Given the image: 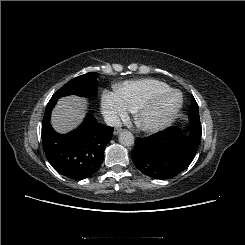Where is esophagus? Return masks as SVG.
I'll use <instances>...</instances> for the list:
<instances>
[{"instance_id": "1", "label": "esophagus", "mask_w": 245, "mask_h": 245, "mask_svg": "<svg viewBox=\"0 0 245 245\" xmlns=\"http://www.w3.org/2000/svg\"><path fill=\"white\" fill-rule=\"evenodd\" d=\"M122 131H123L122 128H115L114 129V134L117 135V134L121 133Z\"/></svg>"}]
</instances>
